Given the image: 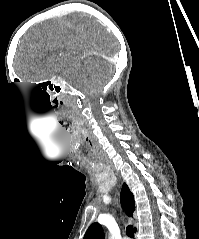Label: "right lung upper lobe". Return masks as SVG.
<instances>
[{"label": "right lung upper lobe", "mask_w": 199, "mask_h": 239, "mask_svg": "<svg viewBox=\"0 0 199 239\" xmlns=\"http://www.w3.org/2000/svg\"><path fill=\"white\" fill-rule=\"evenodd\" d=\"M121 204L128 216H132L135 210L134 196L128 186L124 183L121 191ZM102 227L99 223L90 225L83 239H103Z\"/></svg>", "instance_id": "obj_1"}]
</instances>
